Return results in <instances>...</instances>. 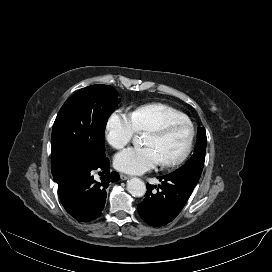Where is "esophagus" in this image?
<instances>
[{
	"mask_svg": "<svg viewBox=\"0 0 272 272\" xmlns=\"http://www.w3.org/2000/svg\"><path fill=\"white\" fill-rule=\"evenodd\" d=\"M120 178H121V180H127L130 177L128 175H125V174H120Z\"/></svg>",
	"mask_w": 272,
	"mask_h": 272,
	"instance_id": "34e87169",
	"label": "esophagus"
}]
</instances>
